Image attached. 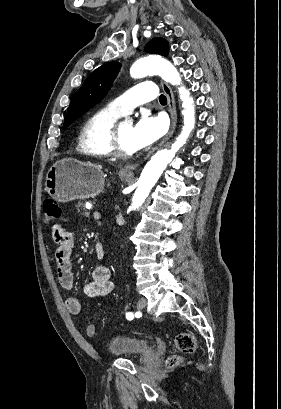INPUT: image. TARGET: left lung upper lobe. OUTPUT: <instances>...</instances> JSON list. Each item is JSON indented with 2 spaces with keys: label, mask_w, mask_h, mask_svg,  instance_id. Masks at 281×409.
<instances>
[{
  "label": "left lung upper lobe",
  "mask_w": 281,
  "mask_h": 409,
  "mask_svg": "<svg viewBox=\"0 0 281 409\" xmlns=\"http://www.w3.org/2000/svg\"><path fill=\"white\" fill-rule=\"evenodd\" d=\"M169 46L166 40L154 38L146 47L149 53L167 55ZM118 62L106 63L94 70L85 80L81 88L74 94L67 110L63 129L83 115L96 103L100 102L108 90L120 69Z\"/></svg>",
  "instance_id": "1"
}]
</instances>
